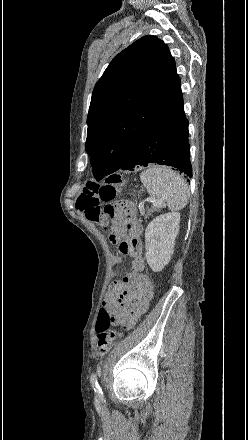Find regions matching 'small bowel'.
<instances>
[{
  "mask_svg": "<svg viewBox=\"0 0 248 440\" xmlns=\"http://www.w3.org/2000/svg\"><path fill=\"white\" fill-rule=\"evenodd\" d=\"M123 205V220L117 221L113 228L119 236L120 252L132 257V274L113 282L105 295L104 305L116 313V325H122L123 331H132L140 316L148 310L153 292L150 279L144 273L141 225L135 219L133 205L129 202ZM114 260L118 263L121 258Z\"/></svg>",
  "mask_w": 248,
  "mask_h": 440,
  "instance_id": "obj_1",
  "label": "small bowel"
}]
</instances>
